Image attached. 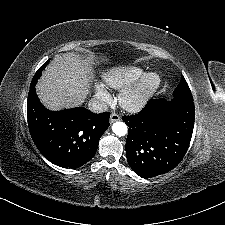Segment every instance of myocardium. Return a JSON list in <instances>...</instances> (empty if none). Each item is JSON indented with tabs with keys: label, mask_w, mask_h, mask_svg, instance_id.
Masks as SVG:
<instances>
[{
	"label": "myocardium",
	"mask_w": 225,
	"mask_h": 225,
	"mask_svg": "<svg viewBox=\"0 0 225 225\" xmlns=\"http://www.w3.org/2000/svg\"><path fill=\"white\" fill-rule=\"evenodd\" d=\"M161 83L156 72L147 73L142 79L127 89L120 98V105L126 111L136 113L142 110Z\"/></svg>",
	"instance_id": "obj_1"
}]
</instances>
